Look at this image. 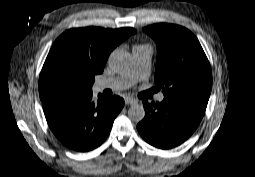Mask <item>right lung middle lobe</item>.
Wrapping results in <instances>:
<instances>
[{
    "label": "right lung middle lobe",
    "mask_w": 255,
    "mask_h": 177,
    "mask_svg": "<svg viewBox=\"0 0 255 177\" xmlns=\"http://www.w3.org/2000/svg\"><path fill=\"white\" fill-rule=\"evenodd\" d=\"M95 74L75 62L66 52L47 57L39 78L42 101L75 96L91 91Z\"/></svg>",
    "instance_id": "dd1d6c3e"
}]
</instances>
